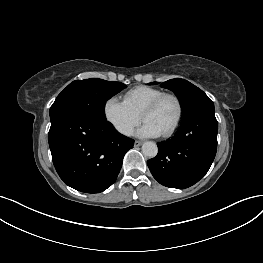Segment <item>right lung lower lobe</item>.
<instances>
[{
	"instance_id": "1",
	"label": "right lung lower lobe",
	"mask_w": 263,
	"mask_h": 263,
	"mask_svg": "<svg viewBox=\"0 0 263 263\" xmlns=\"http://www.w3.org/2000/svg\"><path fill=\"white\" fill-rule=\"evenodd\" d=\"M49 146L55 169L68 186L85 193L110 187L134 140L106 120L67 114L51 122Z\"/></svg>"
}]
</instances>
